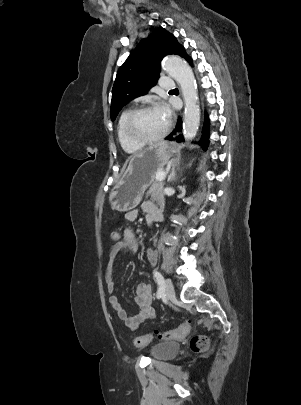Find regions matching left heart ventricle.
<instances>
[{
    "mask_svg": "<svg viewBox=\"0 0 301 405\" xmlns=\"http://www.w3.org/2000/svg\"><path fill=\"white\" fill-rule=\"evenodd\" d=\"M167 120L156 109L139 114L133 124L134 133L141 138H152L160 134Z\"/></svg>",
    "mask_w": 301,
    "mask_h": 405,
    "instance_id": "obj_1",
    "label": "left heart ventricle"
}]
</instances>
